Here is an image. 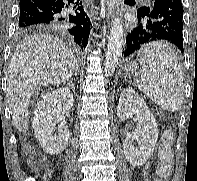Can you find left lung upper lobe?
<instances>
[{
    "mask_svg": "<svg viewBox=\"0 0 197 181\" xmlns=\"http://www.w3.org/2000/svg\"><path fill=\"white\" fill-rule=\"evenodd\" d=\"M154 1L155 0H152V4H153ZM151 7H152V5L150 7H141V8H139L137 10V16L138 17H144V16H146L150 12Z\"/></svg>",
    "mask_w": 197,
    "mask_h": 181,
    "instance_id": "1",
    "label": "left lung upper lobe"
}]
</instances>
